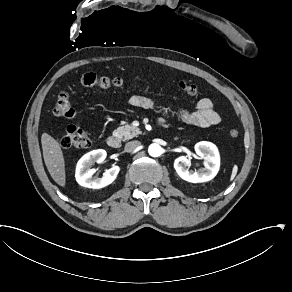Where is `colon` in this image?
<instances>
[{
    "label": "colon",
    "instance_id": "1",
    "mask_svg": "<svg viewBox=\"0 0 292 292\" xmlns=\"http://www.w3.org/2000/svg\"><path fill=\"white\" fill-rule=\"evenodd\" d=\"M79 83L83 87L120 89L125 86L126 79L120 76L107 77L88 73L81 77ZM179 87L188 95L198 96L200 94L199 87L188 79H182L179 83ZM74 113L75 110L73 104L66 92V88H64V90L57 97L54 107V115L57 118L69 119L74 116ZM229 134L232 138H237L239 136V131L233 128L229 131ZM61 145L63 148L69 150L88 148L91 145V138L90 135L83 129L76 126H69L63 133Z\"/></svg>",
    "mask_w": 292,
    "mask_h": 292
}]
</instances>
